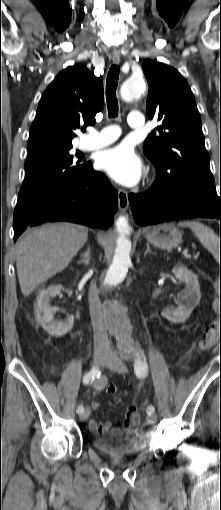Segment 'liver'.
<instances>
[{
    "instance_id": "6515ba94",
    "label": "liver",
    "mask_w": 221,
    "mask_h": 510,
    "mask_svg": "<svg viewBox=\"0 0 221 510\" xmlns=\"http://www.w3.org/2000/svg\"><path fill=\"white\" fill-rule=\"evenodd\" d=\"M88 238V228L53 223L25 232L16 243V266L21 292L36 287L64 270Z\"/></svg>"
}]
</instances>
